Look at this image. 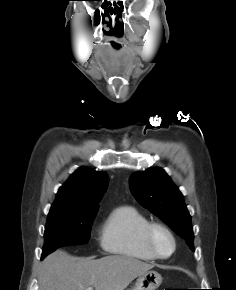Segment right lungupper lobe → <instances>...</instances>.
Here are the masks:
<instances>
[{
	"mask_svg": "<svg viewBox=\"0 0 236 290\" xmlns=\"http://www.w3.org/2000/svg\"><path fill=\"white\" fill-rule=\"evenodd\" d=\"M108 185V174L81 167L60 187L49 214L97 212Z\"/></svg>",
	"mask_w": 236,
	"mask_h": 290,
	"instance_id": "cb5924a9",
	"label": "right lung upper lobe"
}]
</instances>
